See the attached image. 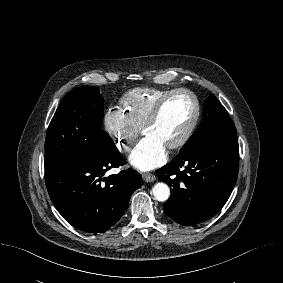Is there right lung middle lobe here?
I'll return each instance as SVG.
<instances>
[{
    "label": "right lung middle lobe",
    "mask_w": 283,
    "mask_h": 283,
    "mask_svg": "<svg viewBox=\"0 0 283 283\" xmlns=\"http://www.w3.org/2000/svg\"><path fill=\"white\" fill-rule=\"evenodd\" d=\"M103 98L96 87H78L66 94L47 130L45 172L81 157L92 156L113 144L101 130Z\"/></svg>",
    "instance_id": "1"
}]
</instances>
